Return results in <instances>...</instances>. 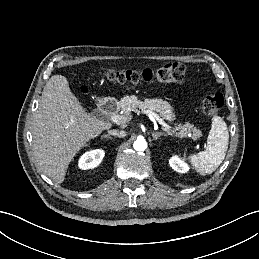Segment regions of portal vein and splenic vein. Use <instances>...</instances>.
Instances as JSON below:
<instances>
[{"mask_svg": "<svg viewBox=\"0 0 259 259\" xmlns=\"http://www.w3.org/2000/svg\"><path fill=\"white\" fill-rule=\"evenodd\" d=\"M140 113V111L138 112ZM141 113L147 115L152 121H157L160 125H162V127H164V129L167 130H171L172 127L170 125H168L167 123H165L163 121L162 118H160V116L158 114H156L155 112L149 111V110H144L141 111ZM130 118L125 117V116H121V115H111L110 116V120L114 123L117 124H124L126 123Z\"/></svg>", "mask_w": 259, "mask_h": 259, "instance_id": "18ae733b", "label": "portal vein and splenic vein"}]
</instances>
